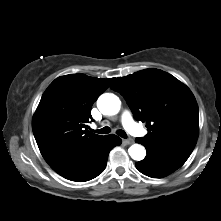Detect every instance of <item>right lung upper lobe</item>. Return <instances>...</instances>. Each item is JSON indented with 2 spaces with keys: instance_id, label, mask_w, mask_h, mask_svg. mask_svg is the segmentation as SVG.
<instances>
[{
  "instance_id": "obj_1",
  "label": "right lung upper lobe",
  "mask_w": 221,
  "mask_h": 221,
  "mask_svg": "<svg viewBox=\"0 0 221 221\" xmlns=\"http://www.w3.org/2000/svg\"><path fill=\"white\" fill-rule=\"evenodd\" d=\"M114 78L70 74L45 90L32 120L34 137L48 164L74 156L104 136L87 130L93 103Z\"/></svg>"
}]
</instances>
